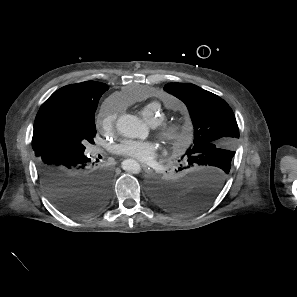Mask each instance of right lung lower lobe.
Masks as SVG:
<instances>
[{"instance_id": "obj_1", "label": "right lung lower lobe", "mask_w": 297, "mask_h": 297, "mask_svg": "<svg viewBox=\"0 0 297 297\" xmlns=\"http://www.w3.org/2000/svg\"><path fill=\"white\" fill-rule=\"evenodd\" d=\"M84 153L45 150L37 156V170L49 199L63 213L84 216L97 212L110 195V176L90 166Z\"/></svg>"}]
</instances>
